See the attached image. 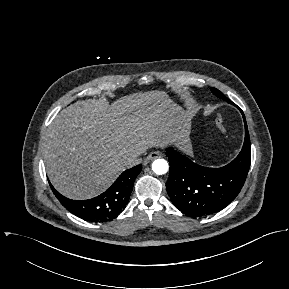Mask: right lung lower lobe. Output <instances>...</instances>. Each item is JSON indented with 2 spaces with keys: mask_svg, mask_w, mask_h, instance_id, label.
Listing matches in <instances>:
<instances>
[{
  "mask_svg": "<svg viewBox=\"0 0 289 289\" xmlns=\"http://www.w3.org/2000/svg\"><path fill=\"white\" fill-rule=\"evenodd\" d=\"M142 165L124 171L103 194L89 200H71L50 187L60 203L71 213L91 222H106L118 215L127 204L134 180Z\"/></svg>",
  "mask_w": 289,
  "mask_h": 289,
  "instance_id": "98d812e1",
  "label": "right lung lower lobe"
}]
</instances>
